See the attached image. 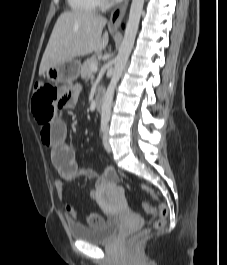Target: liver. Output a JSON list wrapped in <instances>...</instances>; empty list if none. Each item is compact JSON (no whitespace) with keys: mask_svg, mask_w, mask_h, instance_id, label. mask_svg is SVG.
Listing matches in <instances>:
<instances>
[{"mask_svg":"<svg viewBox=\"0 0 227 265\" xmlns=\"http://www.w3.org/2000/svg\"><path fill=\"white\" fill-rule=\"evenodd\" d=\"M106 18L92 12H64L53 28L43 54L39 75L52 66L90 53H100L108 44L109 36L102 30Z\"/></svg>","mask_w":227,"mask_h":265,"instance_id":"1","label":"liver"}]
</instances>
